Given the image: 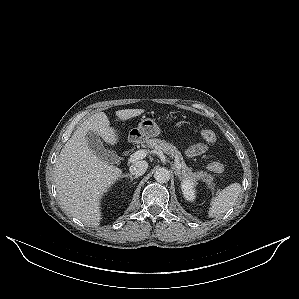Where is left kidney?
Here are the masks:
<instances>
[{"instance_id": "left-kidney-1", "label": "left kidney", "mask_w": 299, "mask_h": 299, "mask_svg": "<svg viewBox=\"0 0 299 299\" xmlns=\"http://www.w3.org/2000/svg\"><path fill=\"white\" fill-rule=\"evenodd\" d=\"M195 183L190 179H183L181 182V190L186 200L193 201L195 199Z\"/></svg>"}]
</instances>
